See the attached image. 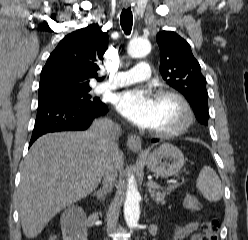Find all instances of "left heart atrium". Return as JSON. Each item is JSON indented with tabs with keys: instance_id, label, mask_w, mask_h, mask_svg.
I'll return each mask as SVG.
<instances>
[{
	"instance_id": "39dd6f15",
	"label": "left heart atrium",
	"mask_w": 248,
	"mask_h": 240,
	"mask_svg": "<svg viewBox=\"0 0 248 240\" xmlns=\"http://www.w3.org/2000/svg\"><path fill=\"white\" fill-rule=\"evenodd\" d=\"M156 97L149 91L132 88L117 96L116 109L135 125L153 128L157 122Z\"/></svg>"
}]
</instances>
